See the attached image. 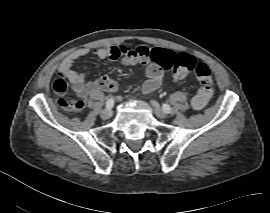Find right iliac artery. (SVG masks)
<instances>
[{"label": "right iliac artery", "instance_id": "1", "mask_svg": "<svg viewBox=\"0 0 270 213\" xmlns=\"http://www.w3.org/2000/svg\"><path fill=\"white\" fill-rule=\"evenodd\" d=\"M114 106V100L111 98L106 102V108L112 109Z\"/></svg>", "mask_w": 270, "mask_h": 213}]
</instances>
